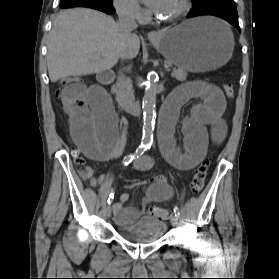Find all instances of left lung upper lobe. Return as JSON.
Segmentation results:
<instances>
[{"label": "left lung upper lobe", "mask_w": 279, "mask_h": 279, "mask_svg": "<svg viewBox=\"0 0 279 279\" xmlns=\"http://www.w3.org/2000/svg\"><path fill=\"white\" fill-rule=\"evenodd\" d=\"M198 0H192L193 3L197 2Z\"/></svg>", "instance_id": "5c2ea615"}]
</instances>
